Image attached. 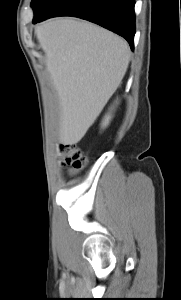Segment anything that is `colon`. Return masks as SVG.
<instances>
[{"instance_id":"5ec220e1","label":"colon","mask_w":181,"mask_h":300,"mask_svg":"<svg viewBox=\"0 0 181 300\" xmlns=\"http://www.w3.org/2000/svg\"><path fill=\"white\" fill-rule=\"evenodd\" d=\"M60 151L64 157L63 165L72 171L82 170L87 163V159L83 152L74 144H63Z\"/></svg>"}]
</instances>
